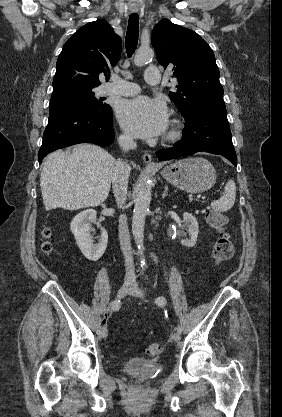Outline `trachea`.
I'll return each mask as SVG.
<instances>
[{"mask_svg":"<svg viewBox=\"0 0 282 417\" xmlns=\"http://www.w3.org/2000/svg\"><path fill=\"white\" fill-rule=\"evenodd\" d=\"M139 36V16L137 13H133L129 17L128 28L125 37V45L127 54L129 57L132 56L137 48Z\"/></svg>","mask_w":282,"mask_h":417,"instance_id":"1","label":"trachea"}]
</instances>
